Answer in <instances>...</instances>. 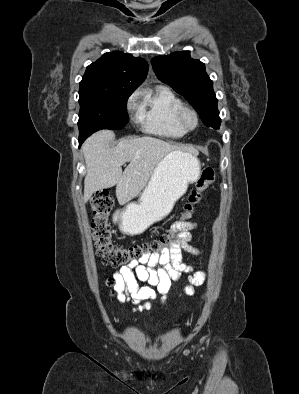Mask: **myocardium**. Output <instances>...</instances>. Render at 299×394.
<instances>
[{"label": "myocardium", "mask_w": 299, "mask_h": 394, "mask_svg": "<svg viewBox=\"0 0 299 394\" xmlns=\"http://www.w3.org/2000/svg\"><path fill=\"white\" fill-rule=\"evenodd\" d=\"M187 114H190L193 116L194 121H195L193 126L187 125L186 120H185ZM176 119H177L178 125L185 132L193 131L199 125V115H198L197 111L190 106L182 105L177 112Z\"/></svg>", "instance_id": "f54148a6"}]
</instances>
